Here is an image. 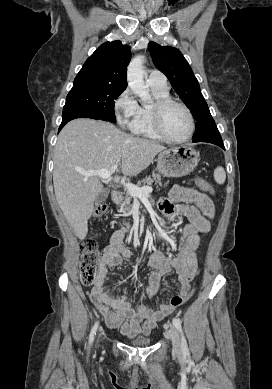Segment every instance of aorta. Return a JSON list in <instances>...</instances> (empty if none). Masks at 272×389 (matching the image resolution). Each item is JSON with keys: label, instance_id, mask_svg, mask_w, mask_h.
Segmentation results:
<instances>
[{"label": "aorta", "instance_id": "1", "mask_svg": "<svg viewBox=\"0 0 272 389\" xmlns=\"http://www.w3.org/2000/svg\"><path fill=\"white\" fill-rule=\"evenodd\" d=\"M143 63L144 57L141 55H138L131 60L127 68V81L133 93L136 94L141 101L150 103L151 95L144 82Z\"/></svg>", "mask_w": 272, "mask_h": 389}]
</instances>
